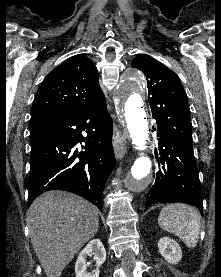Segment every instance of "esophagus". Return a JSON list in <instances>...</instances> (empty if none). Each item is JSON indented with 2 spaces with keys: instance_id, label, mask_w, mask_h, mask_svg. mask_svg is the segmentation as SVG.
Masks as SVG:
<instances>
[{
  "instance_id": "obj_1",
  "label": "esophagus",
  "mask_w": 221,
  "mask_h": 277,
  "mask_svg": "<svg viewBox=\"0 0 221 277\" xmlns=\"http://www.w3.org/2000/svg\"><path fill=\"white\" fill-rule=\"evenodd\" d=\"M127 138L128 135L122 132L117 124H114L113 139L115 142V156L117 159H121L127 153Z\"/></svg>"
}]
</instances>
